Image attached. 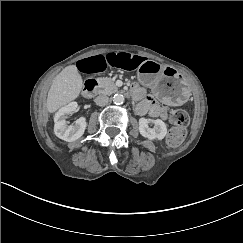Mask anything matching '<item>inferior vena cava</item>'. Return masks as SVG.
Segmentation results:
<instances>
[{
	"mask_svg": "<svg viewBox=\"0 0 243 243\" xmlns=\"http://www.w3.org/2000/svg\"><path fill=\"white\" fill-rule=\"evenodd\" d=\"M94 101L97 106H105L107 105L109 98L106 95H99Z\"/></svg>",
	"mask_w": 243,
	"mask_h": 243,
	"instance_id": "inferior-vena-cava-1",
	"label": "inferior vena cava"
}]
</instances>
